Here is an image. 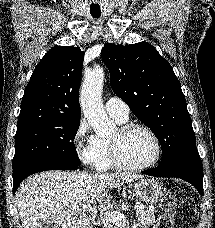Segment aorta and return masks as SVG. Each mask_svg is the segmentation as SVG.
I'll use <instances>...</instances> for the list:
<instances>
[{"label": "aorta", "instance_id": "762f6f07", "mask_svg": "<svg viewBox=\"0 0 215 228\" xmlns=\"http://www.w3.org/2000/svg\"><path fill=\"white\" fill-rule=\"evenodd\" d=\"M103 78L102 68H95L93 72L85 76L79 98L81 110L97 136H104L113 130V124H111L100 100Z\"/></svg>", "mask_w": 215, "mask_h": 228}]
</instances>
